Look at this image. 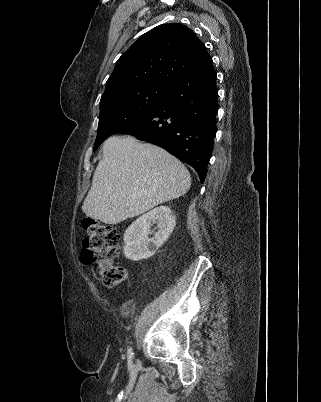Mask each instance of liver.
I'll return each instance as SVG.
<instances>
[{"mask_svg":"<svg viewBox=\"0 0 321 402\" xmlns=\"http://www.w3.org/2000/svg\"><path fill=\"white\" fill-rule=\"evenodd\" d=\"M190 186L188 169L163 148L113 136L104 142L82 211L114 225L183 196Z\"/></svg>","mask_w":321,"mask_h":402,"instance_id":"6515ba94","label":"liver"}]
</instances>
